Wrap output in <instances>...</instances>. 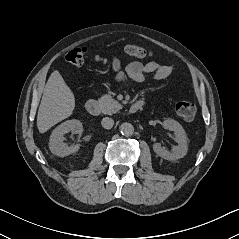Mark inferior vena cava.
Returning <instances> with one entry per match:
<instances>
[{
  "label": "inferior vena cava",
  "mask_w": 239,
  "mask_h": 239,
  "mask_svg": "<svg viewBox=\"0 0 239 239\" xmlns=\"http://www.w3.org/2000/svg\"><path fill=\"white\" fill-rule=\"evenodd\" d=\"M102 127L105 129H111L114 125V120L109 117H105L101 121Z\"/></svg>",
  "instance_id": "602c4592"
}]
</instances>
